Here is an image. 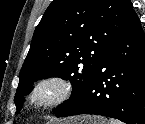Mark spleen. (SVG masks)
I'll use <instances>...</instances> for the list:
<instances>
[{
	"instance_id": "spleen-1",
	"label": "spleen",
	"mask_w": 145,
	"mask_h": 124,
	"mask_svg": "<svg viewBox=\"0 0 145 124\" xmlns=\"http://www.w3.org/2000/svg\"><path fill=\"white\" fill-rule=\"evenodd\" d=\"M110 124H123V123L116 120H110Z\"/></svg>"
}]
</instances>
